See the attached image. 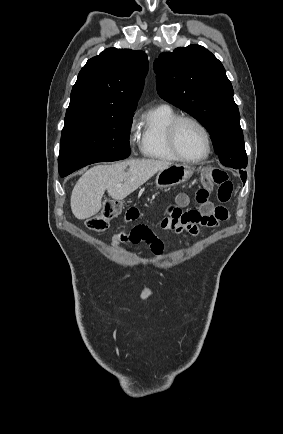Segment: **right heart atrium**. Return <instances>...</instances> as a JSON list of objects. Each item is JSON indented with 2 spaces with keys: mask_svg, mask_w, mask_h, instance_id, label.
<instances>
[{
  "mask_svg": "<svg viewBox=\"0 0 283 434\" xmlns=\"http://www.w3.org/2000/svg\"><path fill=\"white\" fill-rule=\"evenodd\" d=\"M133 130H134V124L131 125V127H130V132L132 133Z\"/></svg>",
  "mask_w": 283,
  "mask_h": 434,
  "instance_id": "obj_1",
  "label": "right heart atrium"
}]
</instances>
